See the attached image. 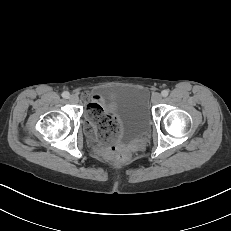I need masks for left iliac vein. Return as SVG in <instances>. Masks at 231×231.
Wrapping results in <instances>:
<instances>
[{
    "instance_id": "1",
    "label": "left iliac vein",
    "mask_w": 231,
    "mask_h": 231,
    "mask_svg": "<svg viewBox=\"0 0 231 231\" xmlns=\"http://www.w3.org/2000/svg\"><path fill=\"white\" fill-rule=\"evenodd\" d=\"M151 101L153 104H158L162 101V96L159 93H154L151 97Z\"/></svg>"
}]
</instances>
